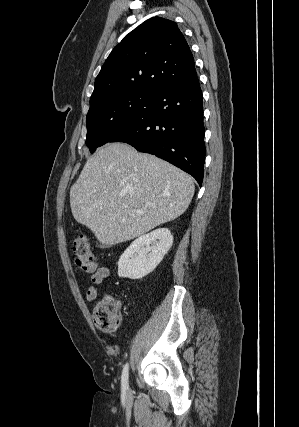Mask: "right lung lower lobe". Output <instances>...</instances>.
Listing matches in <instances>:
<instances>
[{
  "mask_svg": "<svg viewBox=\"0 0 299 427\" xmlns=\"http://www.w3.org/2000/svg\"><path fill=\"white\" fill-rule=\"evenodd\" d=\"M109 142H125L203 181L205 160L202 92L197 77L165 86L129 128Z\"/></svg>",
  "mask_w": 299,
  "mask_h": 427,
  "instance_id": "obj_1",
  "label": "right lung lower lobe"
}]
</instances>
